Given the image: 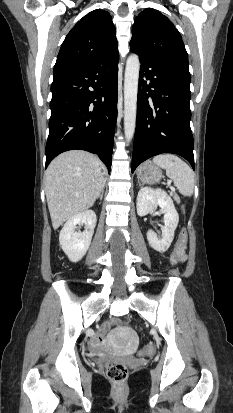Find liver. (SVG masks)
I'll use <instances>...</instances> for the list:
<instances>
[{
  "label": "liver",
  "mask_w": 233,
  "mask_h": 413,
  "mask_svg": "<svg viewBox=\"0 0 233 413\" xmlns=\"http://www.w3.org/2000/svg\"><path fill=\"white\" fill-rule=\"evenodd\" d=\"M105 172L97 156L82 150L64 152L50 163L45 173V194L55 230L93 206L105 186Z\"/></svg>",
  "instance_id": "obj_1"
}]
</instances>
